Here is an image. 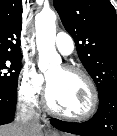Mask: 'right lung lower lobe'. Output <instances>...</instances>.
Wrapping results in <instances>:
<instances>
[{"label": "right lung lower lobe", "mask_w": 117, "mask_h": 136, "mask_svg": "<svg viewBox=\"0 0 117 136\" xmlns=\"http://www.w3.org/2000/svg\"><path fill=\"white\" fill-rule=\"evenodd\" d=\"M17 103V91L0 90V125L13 121Z\"/></svg>", "instance_id": "right-lung-lower-lobe-1"}]
</instances>
